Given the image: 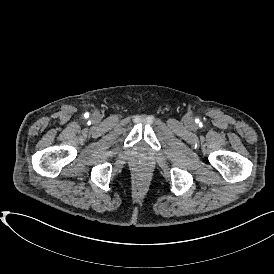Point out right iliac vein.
Returning a JSON list of instances; mask_svg holds the SVG:
<instances>
[{"label": "right iliac vein", "mask_w": 274, "mask_h": 274, "mask_svg": "<svg viewBox=\"0 0 274 274\" xmlns=\"http://www.w3.org/2000/svg\"><path fill=\"white\" fill-rule=\"evenodd\" d=\"M92 120H93V122L98 123L101 120V114L97 111L94 112L92 114Z\"/></svg>", "instance_id": "right-iliac-vein-1"}]
</instances>
